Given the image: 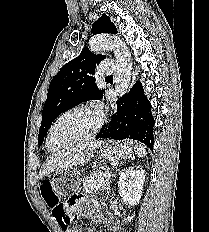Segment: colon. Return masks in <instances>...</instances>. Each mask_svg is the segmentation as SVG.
Wrapping results in <instances>:
<instances>
[{
	"label": "colon",
	"instance_id": "1",
	"mask_svg": "<svg viewBox=\"0 0 209 232\" xmlns=\"http://www.w3.org/2000/svg\"><path fill=\"white\" fill-rule=\"evenodd\" d=\"M41 194L47 205L51 208L52 215L57 221V226H60L62 229H67L72 222L71 215L73 213H66L64 203L60 201L58 195L53 191L49 181L42 183Z\"/></svg>",
	"mask_w": 209,
	"mask_h": 232
}]
</instances>
